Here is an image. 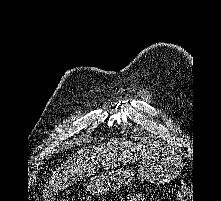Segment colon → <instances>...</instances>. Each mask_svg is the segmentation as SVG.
Here are the masks:
<instances>
[{
    "label": "colon",
    "mask_w": 221,
    "mask_h": 201,
    "mask_svg": "<svg viewBox=\"0 0 221 201\" xmlns=\"http://www.w3.org/2000/svg\"><path fill=\"white\" fill-rule=\"evenodd\" d=\"M176 197L178 201H188L191 198V190L188 182H184L177 190ZM52 201V200H46Z\"/></svg>",
    "instance_id": "5ec220e1"
}]
</instances>
